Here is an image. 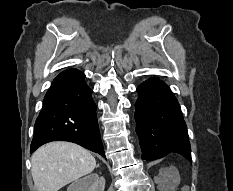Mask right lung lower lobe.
<instances>
[{
    "instance_id": "1",
    "label": "right lung lower lobe",
    "mask_w": 233,
    "mask_h": 191,
    "mask_svg": "<svg viewBox=\"0 0 233 191\" xmlns=\"http://www.w3.org/2000/svg\"><path fill=\"white\" fill-rule=\"evenodd\" d=\"M77 69L61 72L47 91L35 122L31 153L51 141L77 143L105 157L92 90Z\"/></svg>"
}]
</instances>
